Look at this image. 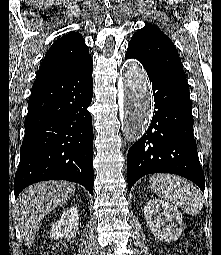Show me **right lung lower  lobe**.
Here are the masks:
<instances>
[{"label":"right lung lower lobe","mask_w":221,"mask_h":255,"mask_svg":"<svg viewBox=\"0 0 221 255\" xmlns=\"http://www.w3.org/2000/svg\"><path fill=\"white\" fill-rule=\"evenodd\" d=\"M92 58L61 76L34 83L15 175V197L45 180L83 185L93 195Z\"/></svg>","instance_id":"1"}]
</instances>
